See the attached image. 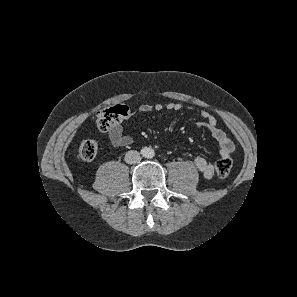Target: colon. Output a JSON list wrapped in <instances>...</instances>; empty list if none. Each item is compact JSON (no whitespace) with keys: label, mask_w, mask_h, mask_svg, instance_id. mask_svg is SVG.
<instances>
[{"label":"colon","mask_w":297,"mask_h":297,"mask_svg":"<svg viewBox=\"0 0 297 297\" xmlns=\"http://www.w3.org/2000/svg\"><path fill=\"white\" fill-rule=\"evenodd\" d=\"M129 113L128 107L125 105H115L110 108L101 110L97 114L96 122L98 128L103 131H109L115 124L119 123ZM98 151L97 143L93 140H85L80 145V155L82 159L91 161L95 159ZM216 173L219 179L226 178L232 168V160L230 157L222 158L216 162Z\"/></svg>","instance_id":"colon-1"}]
</instances>
